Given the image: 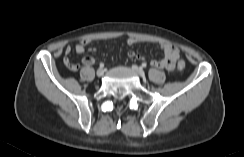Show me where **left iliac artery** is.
<instances>
[{"label": "left iliac artery", "instance_id": "1", "mask_svg": "<svg viewBox=\"0 0 244 157\" xmlns=\"http://www.w3.org/2000/svg\"><path fill=\"white\" fill-rule=\"evenodd\" d=\"M142 67H146V64L145 63H142V65H141Z\"/></svg>", "mask_w": 244, "mask_h": 157}]
</instances>
